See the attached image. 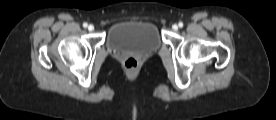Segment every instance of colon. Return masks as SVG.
Returning a JSON list of instances; mask_svg holds the SVG:
<instances>
[{
  "mask_svg": "<svg viewBox=\"0 0 276 120\" xmlns=\"http://www.w3.org/2000/svg\"><path fill=\"white\" fill-rule=\"evenodd\" d=\"M124 67L129 71H134L138 67V61L134 57H128L124 60Z\"/></svg>",
  "mask_w": 276,
  "mask_h": 120,
  "instance_id": "obj_1",
  "label": "colon"
}]
</instances>
